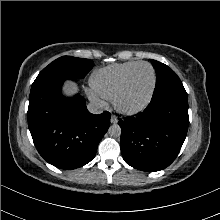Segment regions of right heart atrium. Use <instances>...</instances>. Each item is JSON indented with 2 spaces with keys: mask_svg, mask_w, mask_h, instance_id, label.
<instances>
[{
  "mask_svg": "<svg viewBox=\"0 0 220 220\" xmlns=\"http://www.w3.org/2000/svg\"><path fill=\"white\" fill-rule=\"evenodd\" d=\"M89 97L93 101H99V97L95 93H93V92L89 93Z\"/></svg>",
  "mask_w": 220,
  "mask_h": 220,
  "instance_id": "1",
  "label": "right heart atrium"
}]
</instances>
